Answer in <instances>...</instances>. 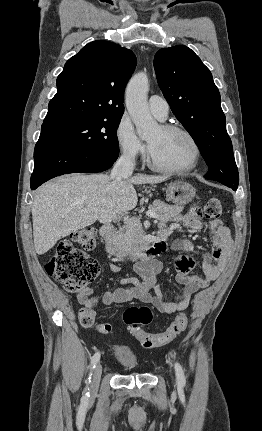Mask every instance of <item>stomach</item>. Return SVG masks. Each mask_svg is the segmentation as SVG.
<instances>
[{
	"instance_id": "1",
	"label": "stomach",
	"mask_w": 262,
	"mask_h": 431,
	"mask_svg": "<svg viewBox=\"0 0 262 431\" xmlns=\"http://www.w3.org/2000/svg\"><path fill=\"white\" fill-rule=\"evenodd\" d=\"M195 188L185 181H175L166 188V197L176 205L188 204L195 196Z\"/></svg>"
}]
</instances>
